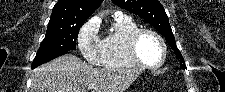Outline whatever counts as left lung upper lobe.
<instances>
[{
    "label": "left lung upper lobe",
    "mask_w": 225,
    "mask_h": 92,
    "mask_svg": "<svg viewBox=\"0 0 225 92\" xmlns=\"http://www.w3.org/2000/svg\"><path fill=\"white\" fill-rule=\"evenodd\" d=\"M117 6L130 11L148 23L165 37L167 43L175 51L176 56L180 59V68L186 69L184 59L178 50L174 35L169 24L168 16L158 0H111Z\"/></svg>",
    "instance_id": "obj_1"
}]
</instances>
